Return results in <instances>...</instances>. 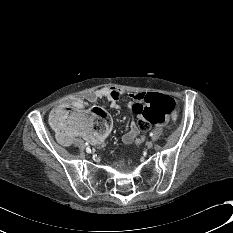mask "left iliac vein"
<instances>
[{
	"label": "left iliac vein",
	"instance_id": "1",
	"mask_svg": "<svg viewBox=\"0 0 233 233\" xmlns=\"http://www.w3.org/2000/svg\"><path fill=\"white\" fill-rule=\"evenodd\" d=\"M148 149H151L153 147V143L152 142H147L146 144Z\"/></svg>",
	"mask_w": 233,
	"mask_h": 233
}]
</instances>
